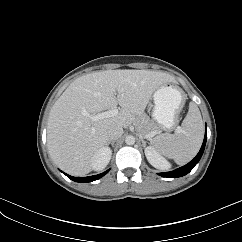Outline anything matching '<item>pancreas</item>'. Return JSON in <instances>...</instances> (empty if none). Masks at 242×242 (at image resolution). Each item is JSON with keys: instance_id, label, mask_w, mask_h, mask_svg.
<instances>
[{"instance_id": "cf45deb5", "label": "pancreas", "mask_w": 242, "mask_h": 242, "mask_svg": "<svg viewBox=\"0 0 242 242\" xmlns=\"http://www.w3.org/2000/svg\"><path fill=\"white\" fill-rule=\"evenodd\" d=\"M137 132L140 136H153L157 133V126L151 122L147 117L135 122Z\"/></svg>"}]
</instances>
